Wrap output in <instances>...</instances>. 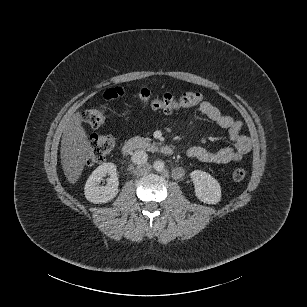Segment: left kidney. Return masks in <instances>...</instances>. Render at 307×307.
I'll use <instances>...</instances> for the list:
<instances>
[{"label":"left kidney","mask_w":307,"mask_h":307,"mask_svg":"<svg viewBox=\"0 0 307 307\" xmlns=\"http://www.w3.org/2000/svg\"><path fill=\"white\" fill-rule=\"evenodd\" d=\"M190 178L194 186V194L202 203L216 205L221 201V186L208 172L193 170Z\"/></svg>","instance_id":"5707ae66"}]
</instances>
